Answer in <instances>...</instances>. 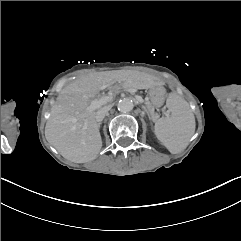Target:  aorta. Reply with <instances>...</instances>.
Wrapping results in <instances>:
<instances>
[{"label": "aorta", "mask_w": 241, "mask_h": 241, "mask_svg": "<svg viewBox=\"0 0 241 241\" xmlns=\"http://www.w3.org/2000/svg\"><path fill=\"white\" fill-rule=\"evenodd\" d=\"M118 110L123 113L132 111L134 104L130 98H123L118 102Z\"/></svg>", "instance_id": "1"}]
</instances>
